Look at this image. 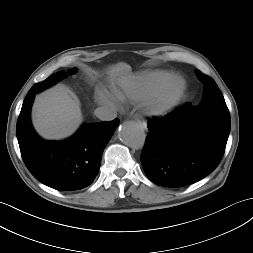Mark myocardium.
Masks as SVG:
<instances>
[{"instance_id":"myocardium-1","label":"myocardium","mask_w":253,"mask_h":253,"mask_svg":"<svg viewBox=\"0 0 253 253\" xmlns=\"http://www.w3.org/2000/svg\"><path fill=\"white\" fill-rule=\"evenodd\" d=\"M186 88L185 80L176 76L157 89L149 98L148 110L151 114H167L180 100Z\"/></svg>"}]
</instances>
